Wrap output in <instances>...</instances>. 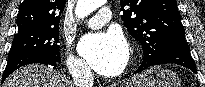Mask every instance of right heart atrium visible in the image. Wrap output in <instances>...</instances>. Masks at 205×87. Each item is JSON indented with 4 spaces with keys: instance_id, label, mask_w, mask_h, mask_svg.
Wrapping results in <instances>:
<instances>
[{
    "instance_id": "obj_1",
    "label": "right heart atrium",
    "mask_w": 205,
    "mask_h": 87,
    "mask_svg": "<svg viewBox=\"0 0 205 87\" xmlns=\"http://www.w3.org/2000/svg\"><path fill=\"white\" fill-rule=\"evenodd\" d=\"M66 63L69 72L73 76H81L90 73V68L87 63L83 59L76 57L69 48L67 52Z\"/></svg>"
}]
</instances>
